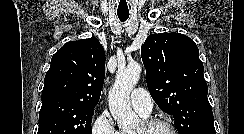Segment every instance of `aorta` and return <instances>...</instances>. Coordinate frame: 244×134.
<instances>
[{"label":"aorta","mask_w":244,"mask_h":134,"mask_svg":"<svg viewBox=\"0 0 244 134\" xmlns=\"http://www.w3.org/2000/svg\"><path fill=\"white\" fill-rule=\"evenodd\" d=\"M142 68L141 65L129 63L123 70H118L116 81L108 94L110 112L120 128L126 129L138 122V116L130 107V93L136 86Z\"/></svg>","instance_id":"obj_1"}]
</instances>
